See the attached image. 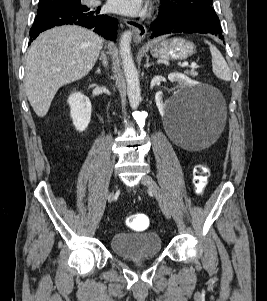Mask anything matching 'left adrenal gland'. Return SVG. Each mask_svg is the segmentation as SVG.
<instances>
[{"label": "left adrenal gland", "mask_w": 267, "mask_h": 301, "mask_svg": "<svg viewBox=\"0 0 267 301\" xmlns=\"http://www.w3.org/2000/svg\"><path fill=\"white\" fill-rule=\"evenodd\" d=\"M151 65H153V64H149V57H147L146 64L144 65V67H145V68H148V67H150Z\"/></svg>", "instance_id": "obj_1"}]
</instances>
